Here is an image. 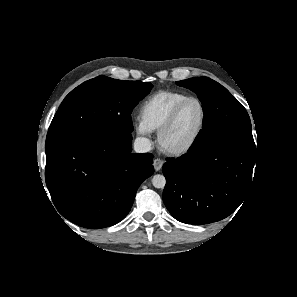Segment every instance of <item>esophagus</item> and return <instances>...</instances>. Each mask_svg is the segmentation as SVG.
Segmentation results:
<instances>
[{"mask_svg": "<svg viewBox=\"0 0 297 297\" xmlns=\"http://www.w3.org/2000/svg\"><path fill=\"white\" fill-rule=\"evenodd\" d=\"M153 166L155 171H159L163 166V161L157 158L153 161Z\"/></svg>", "mask_w": 297, "mask_h": 297, "instance_id": "esophagus-1", "label": "esophagus"}]
</instances>
